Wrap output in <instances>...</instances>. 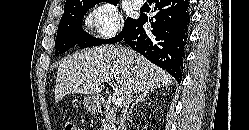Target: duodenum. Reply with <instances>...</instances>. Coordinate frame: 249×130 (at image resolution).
<instances>
[{
  "label": "duodenum",
  "instance_id": "1",
  "mask_svg": "<svg viewBox=\"0 0 249 130\" xmlns=\"http://www.w3.org/2000/svg\"><path fill=\"white\" fill-rule=\"evenodd\" d=\"M98 107L99 111L102 113H106L110 109L109 105L103 99H99Z\"/></svg>",
  "mask_w": 249,
  "mask_h": 130
}]
</instances>
